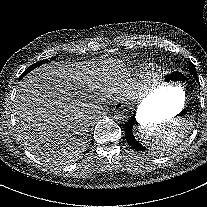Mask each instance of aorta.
<instances>
[{
  "label": "aorta",
  "mask_w": 207,
  "mask_h": 207,
  "mask_svg": "<svg viewBox=\"0 0 207 207\" xmlns=\"http://www.w3.org/2000/svg\"><path fill=\"white\" fill-rule=\"evenodd\" d=\"M114 120L117 122H127L130 118L128 110L124 107L118 108L114 112Z\"/></svg>",
  "instance_id": "762f6f07"
}]
</instances>
